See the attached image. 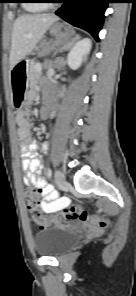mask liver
<instances>
[{
    "label": "liver",
    "mask_w": 136,
    "mask_h": 296,
    "mask_svg": "<svg viewBox=\"0 0 136 296\" xmlns=\"http://www.w3.org/2000/svg\"><path fill=\"white\" fill-rule=\"evenodd\" d=\"M58 20L53 14H23L13 25L10 50V68L24 59L36 47L39 40Z\"/></svg>",
    "instance_id": "1"
}]
</instances>
